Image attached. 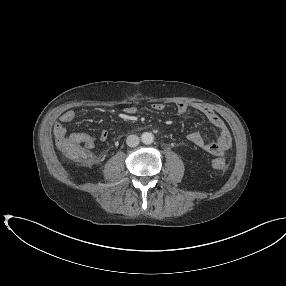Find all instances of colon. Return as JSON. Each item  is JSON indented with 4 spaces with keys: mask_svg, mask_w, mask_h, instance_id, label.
I'll return each instance as SVG.
<instances>
[{
    "mask_svg": "<svg viewBox=\"0 0 286 286\" xmlns=\"http://www.w3.org/2000/svg\"><path fill=\"white\" fill-rule=\"evenodd\" d=\"M59 149L69 158L79 162H91L93 156L86 150L82 138L75 134H67L57 139ZM215 169L223 170L227 167L224 159H215L212 162Z\"/></svg>",
    "mask_w": 286,
    "mask_h": 286,
    "instance_id": "1",
    "label": "colon"
}]
</instances>
